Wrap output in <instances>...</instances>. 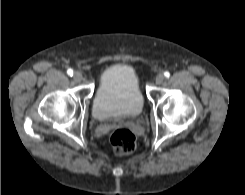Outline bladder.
Segmentation results:
<instances>
[{"instance_id": "obj_1", "label": "bladder", "mask_w": 245, "mask_h": 195, "mask_svg": "<svg viewBox=\"0 0 245 195\" xmlns=\"http://www.w3.org/2000/svg\"><path fill=\"white\" fill-rule=\"evenodd\" d=\"M144 107L135 70L127 64H114L101 75L92 105L99 121L121 120L138 116Z\"/></svg>"}]
</instances>
